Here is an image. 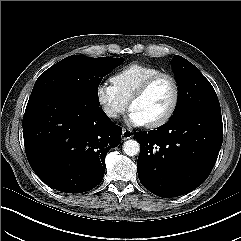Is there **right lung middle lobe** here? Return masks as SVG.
<instances>
[{
    "label": "right lung middle lobe",
    "mask_w": 241,
    "mask_h": 241,
    "mask_svg": "<svg viewBox=\"0 0 241 241\" xmlns=\"http://www.w3.org/2000/svg\"><path fill=\"white\" fill-rule=\"evenodd\" d=\"M123 60L124 58H90L81 55L66 57L38 77L30 98L61 92L90 106H99L98 86L102 78Z\"/></svg>",
    "instance_id": "obj_1"
}]
</instances>
